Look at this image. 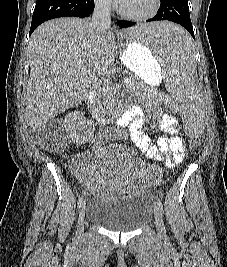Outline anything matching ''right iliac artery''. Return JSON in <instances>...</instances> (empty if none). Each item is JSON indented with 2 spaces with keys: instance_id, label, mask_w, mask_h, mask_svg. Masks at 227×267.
Here are the masks:
<instances>
[{
  "instance_id": "obj_1",
  "label": "right iliac artery",
  "mask_w": 227,
  "mask_h": 267,
  "mask_svg": "<svg viewBox=\"0 0 227 267\" xmlns=\"http://www.w3.org/2000/svg\"><path fill=\"white\" fill-rule=\"evenodd\" d=\"M84 204V199H83V196H81L79 198V201H78V209H80L82 207V205Z\"/></svg>"
}]
</instances>
